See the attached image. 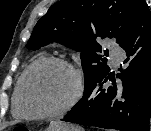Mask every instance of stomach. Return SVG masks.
Returning a JSON list of instances; mask_svg holds the SVG:
<instances>
[{"instance_id": "1", "label": "stomach", "mask_w": 151, "mask_h": 131, "mask_svg": "<svg viewBox=\"0 0 151 131\" xmlns=\"http://www.w3.org/2000/svg\"><path fill=\"white\" fill-rule=\"evenodd\" d=\"M46 131H83V129L74 124L55 121L49 125Z\"/></svg>"}]
</instances>
